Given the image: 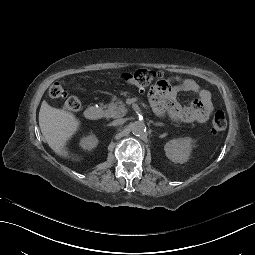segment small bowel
I'll return each mask as SVG.
<instances>
[{"label":"small bowel","instance_id":"small-bowel-1","mask_svg":"<svg viewBox=\"0 0 255 255\" xmlns=\"http://www.w3.org/2000/svg\"><path fill=\"white\" fill-rule=\"evenodd\" d=\"M171 83L177 85L172 87ZM179 92H193L197 95V99L190 106L181 107L173 101ZM151 99L154 109H166L171 118L182 122L204 123L213 110L212 98L208 90L201 88L193 79L177 76L165 81L163 88L154 86L151 90ZM165 100H168L169 104H165Z\"/></svg>","mask_w":255,"mask_h":255}]
</instances>
